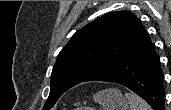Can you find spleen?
<instances>
[{
	"mask_svg": "<svg viewBox=\"0 0 171 110\" xmlns=\"http://www.w3.org/2000/svg\"><path fill=\"white\" fill-rule=\"evenodd\" d=\"M125 97L130 103V110H152L147 102L132 92H126Z\"/></svg>",
	"mask_w": 171,
	"mask_h": 110,
	"instance_id": "obj_1",
	"label": "spleen"
}]
</instances>
